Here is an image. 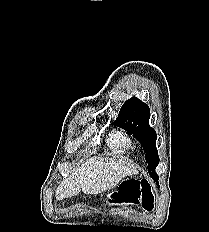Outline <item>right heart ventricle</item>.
Returning <instances> with one entry per match:
<instances>
[{"instance_id":"e07e8e85","label":"right heart ventricle","mask_w":209,"mask_h":232,"mask_svg":"<svg viewBox=\"0 0 209 232\" xmlns=\"http://www.w3.org/2000/svg\"><path fill=\"white\" fill-rule=\"evenodd\" d=\"M108 145L114 151H121L123 149V146L119 140V133H113L110 135Z\"/></svg>"}]
</instances>
